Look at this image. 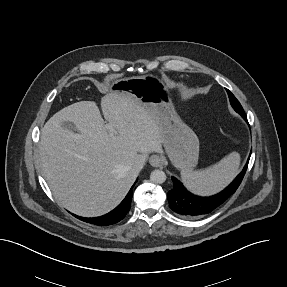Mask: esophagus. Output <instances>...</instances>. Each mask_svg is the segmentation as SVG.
<instances>
[{
	"label": "esophagus",
	"mask_w": 287,
	"mask_h": 287,
	"mask_svg": "<svg viewBox=\"0 0 287 287\" xmlns=\"http://www.w3.org/2000/svg\"><path fill=\"white\" fill-rule=\"evenodd\" d=\"M149 163L153 166V167H161L163 160L159 155H152L149 158Z\"/></svg>",
	"instance_id": "1"
}]
</instances>
